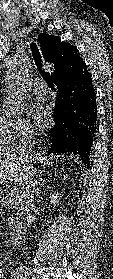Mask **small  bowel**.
Segmentation results:
<instances>
[{"mask_svg": "<svg viewBox=\"0 0 113 279\" xmlns=\"http://www.w3.org/2000/svg\"><path fill=\"white\" fill-rule=\"evenodd\" d=\"M4 278V274H3V271L0 269V279H3Z\"/></svg>", "mask_w": 113, "mask_h": 279, "instance_id": "small-bowel-1", "label": "small bowel"}]
</instances>
